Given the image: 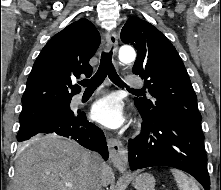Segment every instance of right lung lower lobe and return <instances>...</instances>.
<instances>
[{
	"label": "right lung lower lobe",
	"mask_w": 221,
	"mask_h": 190,
	"mask_svg": "<svg viewBox=\"0 0 221 190\" xmlns=\"http://www.w3.org/2000/svg\"><path fill=\"white\" fill-rule=\"evenodd\" d=\"M40 133L57 134L75 140L83 147L100 153L108 159V148L103 131L86 119L85 113L65 112L53 115L19 129V142L30 139Z\"/></svg>",
	"instance_id": "98d812e1"
}]
</instances>
